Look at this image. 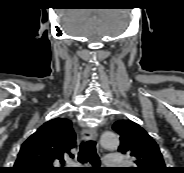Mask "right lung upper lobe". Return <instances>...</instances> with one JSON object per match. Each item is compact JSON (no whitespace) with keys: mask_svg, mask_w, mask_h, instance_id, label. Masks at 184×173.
Here are the masks:
<instances>
[{"mask_svg":"<svg viewBox=\"0 0 184 173\" xmlns=\"http://www.w3.org/2000/svg\"><path fill=\"white\" fill-rule=\"evenodd\" d=\"M76 135L70 120L55 118L43 124L22 145L13 173H68L64 157L74 147Z\"/></svg>","mask_w":184,"mask_h":173,"instance_id":"right-lung-upper-lobe-1","label":"right lung upper lobe"}]
</instances>
